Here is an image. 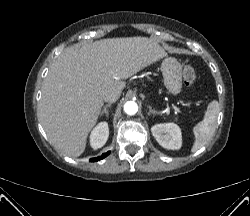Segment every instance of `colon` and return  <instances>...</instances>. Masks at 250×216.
<instances>
[{"label":"colon","mask_w":250,"mask_h":216,"mask_svg":"<svg viewBox=\"0 0 250 216\" xmlns=\"http://www.w3.org/2000/svg\"><path fill=\"white\" fill-rule=\"evenodd\" d=\"M196 80V73L194 68L186 64L183 68V82L186 86H192Z\"/></svg>","instance_id":"colon-1"}]
</instances>
